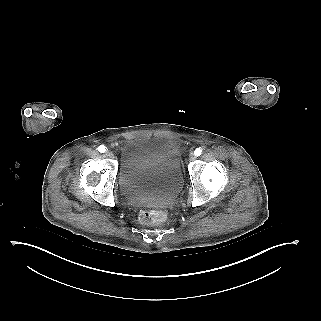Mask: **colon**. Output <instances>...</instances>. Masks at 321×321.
<instances>
[{"label": "colon", "mask_w": 321, "mask_h": 321, "mask_svg": "<svg viewBox=\"0 0 321 321\" xmlns=\"http://www.w3.org/2000/svg\"><path fill=\"white\" fill-rule=\"evenodd\" d=\"M140 221L146 225H160L166 220V213L163 210L153 209L142 211Z\"/></svg>", "instance_id": "obj_1"}]
</instances>
